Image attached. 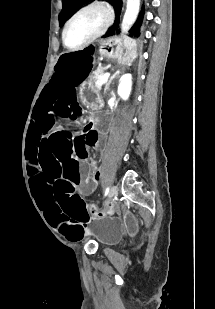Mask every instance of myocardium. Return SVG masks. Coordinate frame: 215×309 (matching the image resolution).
I'll list each match as a JSON object with an SVG mask.
<instances>
[{
  "instance_id": "f54148a6",
  "label": "myocardium",
  "mask_w": 215,
  "mask_h": 309,
  "mask_svg": "<svg viewBox=\"0 0 215 309\" xmlns=\"http://www.w3.org/2000/svg\"><path fill=\"white\" fill-rule=\"evenodd\" d=\"M90 16L93 18V27L89 34L77 44H69L67 40L68 32L71 26L81 17ZM110 10L98 5H90L77 11L64 25L62 30V43L65 48H86L94 40L99 38L105 30L112 25L110 19Z\"/></svg>"
}]
</instances>
